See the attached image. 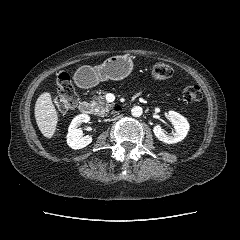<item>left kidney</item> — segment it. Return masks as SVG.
<instances>
[{"instance_id":"1","label":"left kidney","mask_w":240,"mask_h":240,"mask_svg":"<svg viewBox=\"0 0 240 240\" xmlns=\"http://www.w3.org/2000/svg\"><path fill=\"white\" fill-rule=\"evenodd\" d=\"M168 117L174 126L175 132L171 135H167L160 125H156L153 128L155 136L160 141L167 144H173L182 141L187 136L189 131V123L187 119L175 111H169Z\"/></svg>"}]
</instances>
